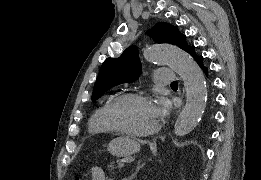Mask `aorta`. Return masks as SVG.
<instances>
[{
    "instance_id": "762f6f07",
    "label": "aorta",
    "mask_w": 261,
    "mask_h": 180,
    "mask_svg": "<svg viewBox=\"0 0 261 180\" xmlns=\"http://www.w3.org/2000/svg\"><path fill=\"white\" fill-rule=\"evenodd\" d=\"M143 55L147 61L167 64L182 78L186 104L175 123L174 133L177 136L190 133L206 108L207 87L203 72L188 53L176 46L155 45L148 47Z\"/></svg>"
}]
</instances>
